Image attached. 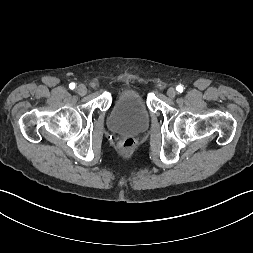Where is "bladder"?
I'll return each mask as SVG.
<instances>
[{
    "mask_svg": "<svg viewBox=\"0 0 253 253\" xmlns=\"http://www.w3.org/2000/svg\"><path fill=\"white\" fill-rule=\"evenodd\" d=\"M107 125L118 134L136 135L145 131L149 125V111L144 97L134 90L119 93L112 103Z\"/></svg>",
    "mask_w": 253,
    "mask_h": 253,
    "instance_id": "31cf9c89",
    "label": "bladder"
}]
</instances>
